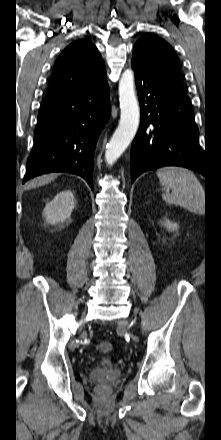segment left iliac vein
Masks as SVG:
<instances>
[{
	"instance_id": "left-iliac-vein-1",
	"label": "left iliac vein",
	"mask_w": 221,
	"mask_h": 440,
	"mask_svg": "<svg viewBox=\"0 0 221 440\" xmlns=\"http://www.w3.org/2000/svg\"><path fill=\"white\" fill-rule=\"evenodd\" d=\"M119 325L123 327V326L126 325V322H125L124 320H121V321L119 322Z\"/></svg>"
}]
</instances>
